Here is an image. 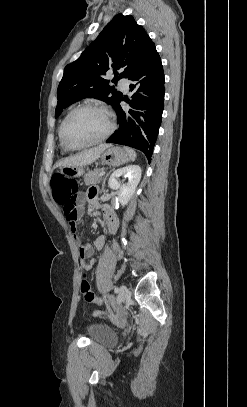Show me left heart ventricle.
I'll list each match as a JSON object with an SVG mask.
<instances>
[{
    "label": "left heart ventricle",
    "instance_id": "left-heart-ventricle-1",
    "mask_svg": "<svg viewBox=\"0 0 247 407\" xmlns=\"http://www.w3.org/2000/svg\"><path fill=\"white\" fill-rule=\"evenodd\" d=\"M107 129V119L101 112L84 109L71 116L64 135L69 144L79 146L101 137Z\"/></svg>",
    "mask_w": 247,
    "mask_h": 407
}]
</instances>
